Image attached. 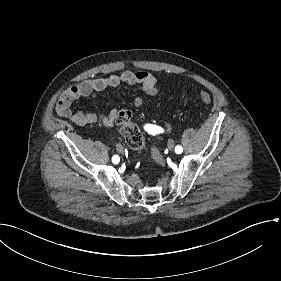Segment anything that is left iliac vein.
Segmentation results:
<instances>
[{
    "label": "left iliac vein",
    "instance_id": "4c4485c4",
    "mask_svg": "<svg viewBox=\"0 0 281 281\" xmlns=\"http://www.w3.org/2000/svg\"><path fill=\"white\" fill-rule=\"evenodd\" d=\"M168 148H169L170 150H173V148H174V141H173V140H169V141H168Z\"/></svg>",
    "mask_w": 281,
    "mask_h": 281
}]
</instances>
